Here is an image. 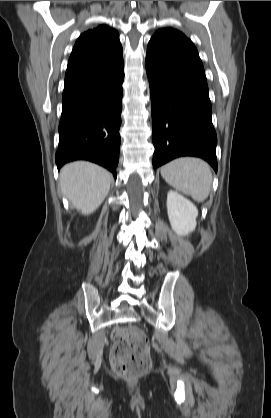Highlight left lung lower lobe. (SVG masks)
Here are the masks:
<instances>
[{
	"label": "left lung lower lobe",
	"mask_w": 271,
	"mask_h": 418,
	"mask_svg": "<svg viewBox=\"0 0 271 418\" xmlns=\"http://www.w3.org/2000/svg\"><path fill=\"white\" fill-rule=\"evenodd\" d=\"M146 71L152 101L153 167L197 156L217 171V136L203 66L150 40Z\"/></svg>",
	"instance_id": "1"
}]
</instances>
